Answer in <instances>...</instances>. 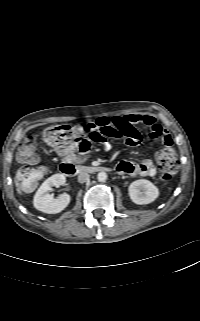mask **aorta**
<instances>
[{
    "instance_id": "aorta-1",
    "label": "aorta",
    "mask_w": 200,
    "mask_h": 321,
    "mask_svg": "<svg viewBox=\"0 0 200 321\" xmlns=\"http://www.w3.org/2000/svg\"><path fill=\"white\" fill-rule=\"evenodd\" d=\"M107 174L105 172H99L98 175H97V179L100 181V182H105L107 180Z\"/></svg>"
}]
</instances>
